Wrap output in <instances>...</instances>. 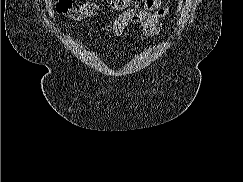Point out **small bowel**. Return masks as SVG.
Listing matches in <instances>:
<instances>
[{
  "instance_id": "obj_1",
  "label": "small bowel",
  "mask_w": 243,
  "mask_h": 182,
  "mask_svg": "<svg viewBox=\"0 0 243 182\" xmlns=\"http://www.w3.org/2000/svg\"><path fill=\"white\" fill-rule=\"evenodd\" d=\"M163 0H135V5L109 23L99 26L101 31L124 36L132 24L142 27V39L157 36L162 31V19L169 9L162 3Z\"/></svg>"
}]
</instances>
